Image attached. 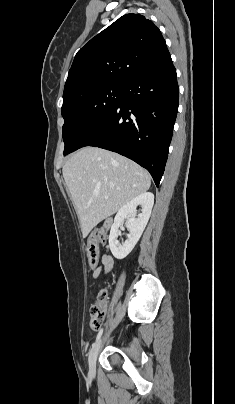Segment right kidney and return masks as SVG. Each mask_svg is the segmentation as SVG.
I'll use <instances>...</instances> for the list:
<instances>
[{
    "instance_id": "right-kidney-1",
    "label": "right kidney",
    "mask_w": 235,
    "mask_h": 404,
    "mask_svg": "<svg viewBox=\"0 0 235 404\" xmlns=\"http://www.w3.org/2000/svg\"><path fill=\"white\" fill-rule=\"evenodd\" d=\"M153 204L154 195L144 192L118 211L109 235V247L115 258L123 259L133 250L148 223ZM139 205L142 206V213L136 218V208ZM124 219H127L126 227L129 235L127 240L120 244L117 237L119 229L123 227Z\"/></svg>"
}]
</instances>
